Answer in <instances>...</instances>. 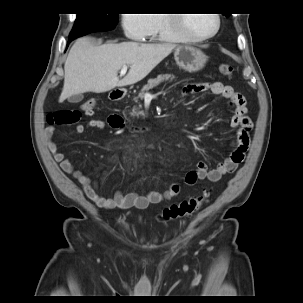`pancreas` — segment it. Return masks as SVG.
<instances>
[{
    "label": "pancreas",
    "instance_id": "cf45deb5",
    "mask_svg": "<svg viewBox=\"0 0 303 303\" xmlns=\"http://www.w3.org/2000/svg\"><path fill=\"white\" fill-rule=\"evenodd\" d=\"M173 79H175V76L173 74H160L156 78L149 79L147 84L143 86V88L141 89L139 94L137 96L133 97V101L135 103H139V99L143 98L145 92L158 86L160 83H162L164 81H173ZM140 107H141V105L139 104V108ZM141 114H143V113L141 111H138V109L136 107H133L130 112V115L133 117L139 116Z\"/></svg>",
    "mask_w": 303,
    "mask_h": 303
}]
</instances>
